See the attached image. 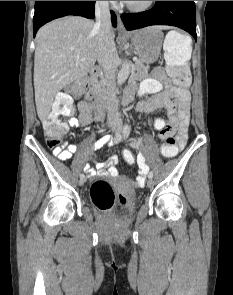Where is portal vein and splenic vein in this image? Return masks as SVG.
Listing matches in <instances>:
<instances>
[{"instance_id": "portal-vein-and-splenic-vein-1", "label": "portal vein and splenic vein", "mask_w": 233, "mask_h": 295, "mask_svg": "<svg viewBox=\"0 0 233 295\" xmlns=\"http://www.w3.org/2000/svg\"><path fill=\"white\" fill-rule=\"evenodd\" d=\"M81 61H85V59H84V58H82V59H81ZM133 61H137V58H136V57H134V58H133Z\"/></svg>"}]
</instances>
